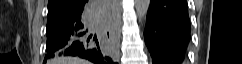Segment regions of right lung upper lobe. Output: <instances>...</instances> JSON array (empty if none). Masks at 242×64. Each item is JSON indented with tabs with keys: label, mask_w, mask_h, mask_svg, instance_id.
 Wrapping results in <instances>:
<instances>
[{
	"label": "right lung upper lobe",
	"mask_w": 242,
	"mask_h": 64,
	"mask_svg": "<svg viewBox=\"0 0 242 64\" xmlns=\"http://www.w3.org/2000/svg\"><path fill=\"white\" fill-rule=\"evenodd\" d=\"M86 0H49L48 13L53 12H70L82 8Z\"/></svg>",
	"instance_id": "1"
}]
</instances>
